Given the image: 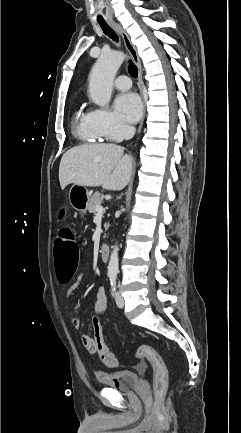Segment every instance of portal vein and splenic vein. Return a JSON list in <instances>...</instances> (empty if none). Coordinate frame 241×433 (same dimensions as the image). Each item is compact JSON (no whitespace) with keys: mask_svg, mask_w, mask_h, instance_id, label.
Segmentation results:
<instances>
[{"mask_svg":"<svg viewBox=\"0 0 241 433\" xmlns=\"http://www.w3.org/2000/svg\"><path fill=\"white\" fill-rule=\"evenodd\" d=\"M104 211H105V209L103 208V206H101V205H97L96 206V212H97L98 215L103 214Z\"/></svg>","mask_w":241,"mask_h":433,"instance_id":"18ae733b","label":"portal vein and splenic vein"}]
</instances>
